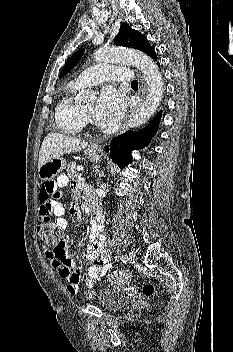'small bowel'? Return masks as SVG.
<instances>
[{
    "mask_svg": "<svg viewBox=\"0 0 233 352\" xmlns=\"http://www.w3.org/2000/svg\"><path fill=\"white\" fill-rule=\"evenodd\" d=\"M68 184V177L61 174L55 181L45 182L40 189V220L41 222L52 223L63 231L67 228L68 222L63 217L65 206L60 201L62 190ZM72 192L75 199L80 195V187L74 183ZM92 198L91 194H86ZM70 214L75 219H80V210L77 201H74L70 208ZM91 234L85 257L92 261V264L86 267H77L74 261L69 257L67 244L69 237L65 236L60 245L44 250L45 257L51 262L61 277L67 281V289L71 294H76L79 290V284L84 283L87 287H92L98 280L104 277L112 268L110 254L106 246V237L104 234L103 218L100 215L97 219L90 222Z\"/></svg>",
    "mask_w": 233,
    "mask_h": 352,
    "instance_id": "small-bowel-1",
    "label": "small bowel"
}]
</instances>
